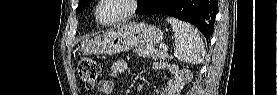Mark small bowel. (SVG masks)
<instances>
[{
	"label": "small bowel",
	"mask_w": 277,
	"mask_h": 95,
	"mask_svg": "<svg viewBox=\"0 0 277 95\" xmlns=\"http://www.w3.org/2000/svg\"><path fill=\"white\" fill-rule=\"evenodd\" d=\"M129 68L127 61L117 60L111 66L110 76L116 78L117 76L125 73ZM97 91L100 94H112L114 91V82L112 79L102 80L97 87ZM156 95H171L170 90L167 87L158 89Z\"/></svg>",
	"instance_id": "obj_1"
}]
</instances>
